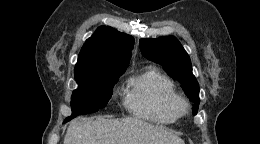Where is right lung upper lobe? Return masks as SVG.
<instances>
[{
  "label": "right lung upper lobe",
  "instance_id": "obj_1",
  "mask_svg": "<svg viewBox=\"0 0 260 144\" xmlns=\"http://www.w3.org/2000/svg\"><path fill=\"white\" fill-rule=\"evenodd\" d=\"M134 46L132 36L100 26L84 43L75 65V76L126 70Z\"/></svg>",
  "mask_w": 260,
  "mask_h": 144
}]
</instances>
